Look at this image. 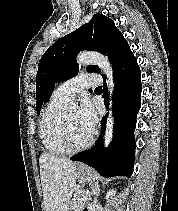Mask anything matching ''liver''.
I'll return each mask as SVG.
<instances>
[{"mask_svg": "<svg viewBox=\"0 0 178 211\" xmlns=\"http://www.w3.org/2000/svg\"><path fill=\"white\" fill-rule=\"evenodd\" d=\"M39 165L46 211H68L76 188V164L67 158L43 153Z\"/></svg>", "mask_w": 178, "mask_h": 211, "instance_id": "6515ba94", "label": "liver"}]
</instances>
